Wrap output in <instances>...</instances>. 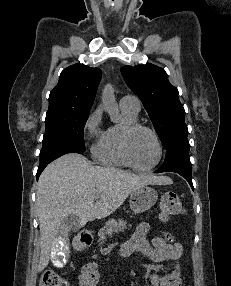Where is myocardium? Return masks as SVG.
I'll return each instance as SVG.
<instances>
[{
	"label": "myocardium",
	"mask_w": 231,
	"mask_h": 286,
	"mask_svg": "<svg viewBox=\"0 0 231 286\" xmlns=\"http://www.w3.org/2000/svg\"><path fill=\"white\" fill-rule=\"evenodd\" d=\"M140 130H145V131L149 132L153 136V138L156 142L157 148H158V157H157L156 161L148 167L138 166L135 163V161L132 157V154H131V148H130L131 139H132L133 135ZM121 149H122V153H123L126 161L130 165V167H132L134 170L139 171V172L152 171L154 168H156L159 165V163L161 162V160L163 158V144H162V141H161L159 135L157 134V132L153 128H151L147 125L138 123V122L126 125L124 127L122 134H121Z\"/></svg>",
	"instance_id": "obj_1"
}]
</instances>
